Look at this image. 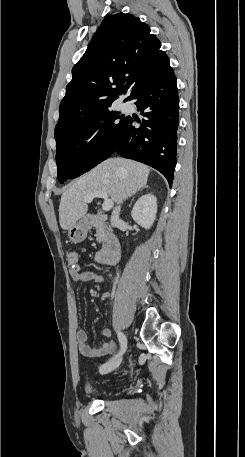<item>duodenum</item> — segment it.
I'll list each match as a JSON object with an SVG mask.
<instances>
[{
  "label": "duodenum",
  "mask_w": 245,
  "mask_h": 457,
  "mask_svg": "<svg viewBox=\"0 0 245 457\" xmlns=\"http://www.w3.org/2000/svg\"><path fill=\"white\" fill-rule=\"evenodd\" d=\"M106 215H93L88 217L87 222L89 224H107ZM121 257V247L118 239L115 236H111L108 239L106 245L97 253L96 259L101 264L114 265L119 262Z\"/></svg>",
  "instance_id": "1"
}]
</instances>
